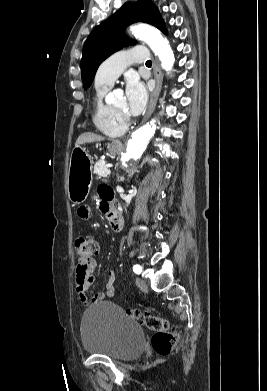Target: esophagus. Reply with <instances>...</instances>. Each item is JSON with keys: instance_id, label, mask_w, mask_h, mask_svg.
<instances>
[{"instance_id": "1", "label": "esophagus", "mask_w": 267, "mask_h": 391, "mask_svg": "<svg viewBox=\"0 0 267 391\" xmlns=\"http://www.w3.org/2000/svg\"><path fill=\"white\" fill-rule=\"evenodd\" d=\"M153 70H154L156 85L154 91L151 93L149 107L143 119V122L146 121L153 113L163 82V74L159 64L156 61L153 62Z\"/></svg>"}]
</instances>
